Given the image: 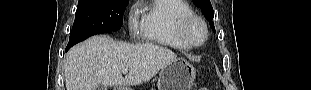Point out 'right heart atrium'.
<instances>
[{"mask_svg": "<svg viewBox=\"0 0 311 90\" xmlns=\"http://www.w3.org/2000/svg\"><path fill=\"white\" fill-rule=\"evenodd\" d=\"M128 28L129 32L132 35H135L138 33V31L141 28V22L139 20V17L135 11V8H131L128 13Z\"/></svg>", "mask_w": 311, "mask_h": 90, "instance_id": "d8ad5b80", "label": "right heart atrium"}]
</instances>
